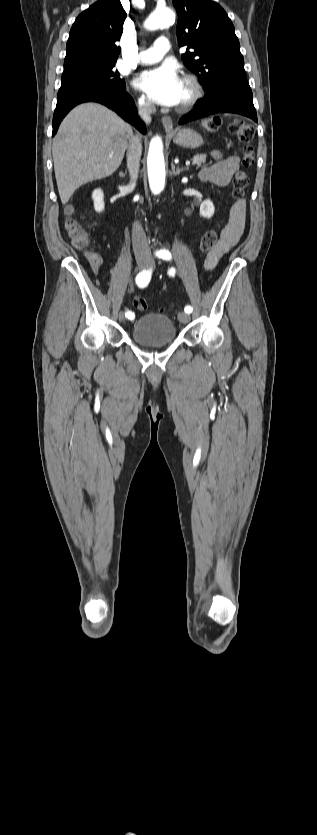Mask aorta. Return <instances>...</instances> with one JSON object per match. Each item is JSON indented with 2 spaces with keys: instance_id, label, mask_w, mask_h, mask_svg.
Returning <instances> with one entry per match:
<instances>
[{
  "instance_id": "obj_1",
  "label": "aorta",
  "mask_w": 317,
  "mask_h": 835,
  "mask_svg": "<svg viewBox=\"0 0 317 835\" xmlns=\"http://www.w3.org/2000/svg\"><path fill=\"white\" fill-rule=\"evenodd\" d=\"M175 21V13L169 7L156 8L145 20L147 30L153 31L162 26H169ZM147 170L150 189L159 194L165 185V163L163 144L160 136L152 138L147 156Z\"/></svg>"
}]
</instances>
